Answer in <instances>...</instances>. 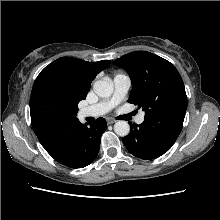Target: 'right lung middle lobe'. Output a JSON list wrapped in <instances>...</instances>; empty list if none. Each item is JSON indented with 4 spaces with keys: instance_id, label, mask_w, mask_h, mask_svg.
I'll return each instance as SVG.
<instances>
[{
    "instance_id": "right-lung-middle-lobe-1",
    "label": "right lung middle lobe",
    "mask_w": 220,
    "mask_h": 220,
    "mask_svg": "<svg viewBox=\"0 0 220 220\" xmlns=\"http://www.w3.org/2000/svg\"><path fill=\"white\" fill-rule=\"evenodd\" d=\"M78 103L69 99L66 84L47 80L33 87L30 97L31 122L60 128L76 117Z\"/></svg>"
}]
</instances>
